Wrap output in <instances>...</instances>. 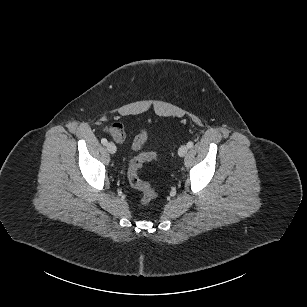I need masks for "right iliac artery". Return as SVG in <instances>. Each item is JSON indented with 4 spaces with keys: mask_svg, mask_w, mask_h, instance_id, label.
<instances>
[{
    "mask_svg": "<svg viewBox=\"0 0 307 307\" xmlns=\"http://www.w3.org/2000/svg\"><path fill=\"white\" fill-rule=\"evenodd\" d=\"M101 143H102L103 145H106L108 142H107V140H106L105 138H102V139H101Z\"/></svg>",
    "mask_w": 307,
    "mask_h": 307,
    "instance_id": "1",
    "label": "right iliac artery"
}]
</instances>
